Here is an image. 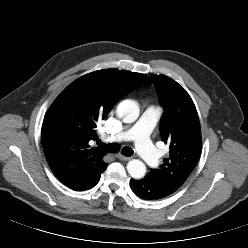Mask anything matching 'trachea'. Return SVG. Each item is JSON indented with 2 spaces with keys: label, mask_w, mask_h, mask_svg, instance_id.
Wrapping results in <instances>:
<instances>
[{
  "label": "trachea",
  "mask_w": 248,
  "mask_h": 248,
  "mask_svg": "<svg viewBox=\"0 0 248 248\" xmlns=\"http://www.w3.org/2000/svg\"><path fill=\"white\" fill-rule=\"evenodd\" d=\"M97 144L104 149L105 151L109 153H118L120 151V145L118 143H110V144H104L101 143L100 141L97 142ZM121 153L125 155L126 157H130L133 155V150L126 146L122 149Z\"/></svg>",
  "instance_id": "obj_1"
}]
</instances>
